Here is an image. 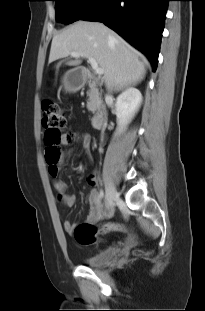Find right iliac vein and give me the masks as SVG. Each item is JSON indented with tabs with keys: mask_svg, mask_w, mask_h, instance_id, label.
<instances>
[{
	"mask_svg": "<svg viewBox=\"0 0 205 311\" xmlns=\"http://www.w3.org/2000/svg\"><path fill=\"white\" fill-rule=\"evenodd\" d=\"M118 192L112 182L108 181L106 184V202L109 208H111L114 202L118 199Z\"/></svg>",
	"mask_w": 205,
	"mask_h": 311,
	"instance_id": "obj_1",
	"label": "right iliac vein"
}]
</instances>
